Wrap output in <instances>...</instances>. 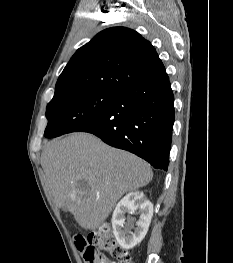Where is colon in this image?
I'll list each match as a JSON object with an SVG mask.
<instances>
[{
  "mask_svg": "<svg viewBox=\"0 0 233 263\" xmlns=\"http://www.w3.org/2000/svg\"><path fill=\"white\" fill-rule=\"evenodd\" d=\"M75 242L85 263H107L109 256L116 258L118 263H134L130 253L117 243L108 225H102L87 238L77 236Z\"/></svg>",
  "mask_w": 233,
  "mask_h": 263,
  "instance_id": "colon-1",
  "label": "colon"
}]
</instances>
